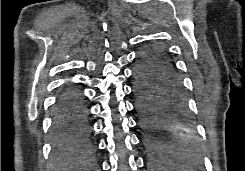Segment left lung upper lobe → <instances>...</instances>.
<instances>
[{
	"label": "left lung upper lobe",
	"mask_w": 245,
	"mask_h": 171,
	"mask_svg": "<svg viewBox=\"0 0 245 171\" xmlns=\"http://www.w3.org/2000/svg\"><path fill=\"white\" fill-rule=\"evenodd\" d=\"M156 45H148L144 47L138 55L137 61H152V51L154 50Z\"/></svg>",
	"instance_id": "1"
}]
</instances>
